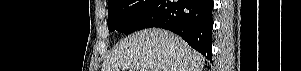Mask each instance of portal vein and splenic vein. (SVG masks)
Instances as JSON below:
<instances>
[{"mask_svg":"<svg viewBox=\"0 0 301 71\" xmlns=\"http://www.w3.org/2000/svg\"><path fill=\"white\" fill-rule=\"evenodd\" d=\"M141 71H148V69H141Z\"/></svg>","mask_w":301,"mask_h":71,"instance_id":"obj_1","label":"portal vein and splenic vein"}]
</instances>
